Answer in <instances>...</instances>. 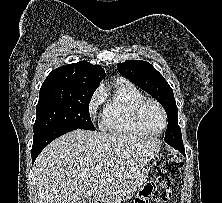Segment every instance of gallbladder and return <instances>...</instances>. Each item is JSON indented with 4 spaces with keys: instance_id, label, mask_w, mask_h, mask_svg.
<instances>
[{
    "instance_id": "bac80fb5",
    "label": "gallbladder",
    "mask_w": 222,
    "mask_h": 203,
    "mask_svg": "<svg viewBox=\"0 0 222 203\" xmlns=\"http://www.w3.org/2000/svg\"><path fill=\"white\" fill-rule=\"evenodd\" d=\"M80 203H91V200L89 198H85Z\"/></svg>"
}]
</instances>
